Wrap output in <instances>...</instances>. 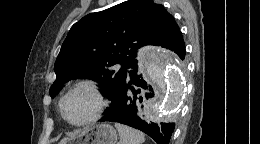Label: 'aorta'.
I'll return each mask as SVG.
<instances>
[{
    "label": "aorta",
    "instance_id": "aorta-1",
    "mask_svg": "<svg viewBox=\"0 0 260 144\" xmlns=\"http://www.w3.org/2000/svg\"><path fill=\"white\" fill-rule=\"evenodd\" d=\"M142 62L158 90L153 101L154 117L165 119L177 109L183 93L179 63L171 52L165 50L150 51Z\"/></svg>",
    "mask_w": 260,
    "mask_h": 144
}]
</instances>
